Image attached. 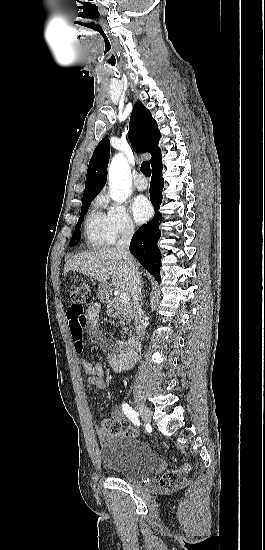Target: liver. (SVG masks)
I'll use <instances>...</instances> for the list:
<instances>
[{"instance_id": "obj_1", "label": "liver", "mask_w": 265, "mask_h": 550, "mask_svg": "<svg viewBox=\"0 0 265 550\" xmlns=\"http://www.w3.org/2000/svg\"><path fill=\"white\" fill-rule=\"evenodd\" d=\"M139 272V265L135 262ZM77 271L101 283L105 288L112 277V285L118 291L131 292V279L122 255L116 248H103L77 254L68 259L64 266V275L69 271Z\"/></svg>"}]
</instances>
